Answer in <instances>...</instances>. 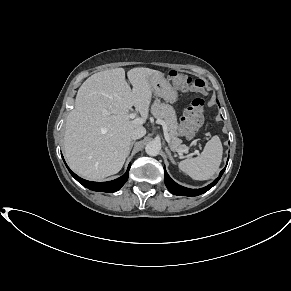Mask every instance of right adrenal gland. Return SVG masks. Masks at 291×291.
<instances>
[{
    "instance_id": "1",
    "label": "right adrenal gland",
    "mask_w": 291,
    "mask_h": 291,
    "mask_svg": "<svg viewBox=\"0 0 291 291\" xmlns=\"http://www.w3.org/2000/svg\"><path fill=\"white\" fill-rule=\"evenodd\" d=\"M134 143H135V141H132V142H131L128 155L130 154V151H131V149H132Z\"/></svg>"
}]
</instances>
